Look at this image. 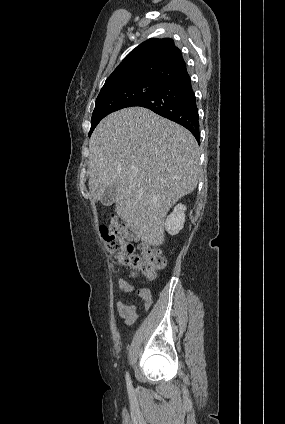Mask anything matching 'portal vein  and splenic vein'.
<instances>
[{
	"label": "portal vein and splenic vein",
	"instance_id": "portal-vein-and-splenic-vein-1",
	"mask_svg": "<svg viewBox=\"0 0 285 424\" xmlns=\"http://www.w3.org/2000/svg\"><path fill=\"white\" fill-rule=\"evenodd\" d=\"M133 171H134V172H137V171H138V168H133Z\"/></svg>",
	"mask_w": 285,
	"mask_h": 424
}]
</instances>
